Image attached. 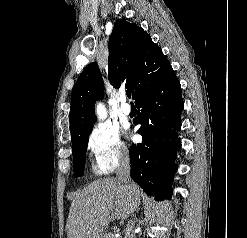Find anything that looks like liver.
Here are the masks:
<instances>
[{"instance_id":"liver-1","label":"liver","mask_w":247,"mask_h":238,"mask_svg":"<svg viewBox=\"0 0 247 238\" xmlns=\"http://www.w3.org/2000/svg\"><path fill=\"white\" fill-rule=\"evenodd\" d=\"M139 202L140 189L137 185L134 184L130 194L117 179L95 180L78 192L71 203L67 237L101 238L111 219H120V224H123Z\"/></svg>"}]
</instances>
